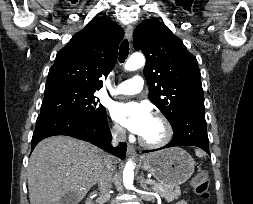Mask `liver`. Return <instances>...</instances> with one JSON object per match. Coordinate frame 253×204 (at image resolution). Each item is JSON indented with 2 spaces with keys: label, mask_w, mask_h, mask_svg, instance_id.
<instances>
[{
  "label": "liver",
  "mask_w": 253,
  "mask_h": 204,
  "mask_svg": "<svg viewBox=\"0 0 253 204\" xmlns=\"http://www.w3.org/2000/svg\"><path fill=\"white\" fill-rule=\"evenodd\" d=\"M114 157L98 147L69 136H52L41 141L28 166L30 204H59L67 193L80 202L98 182L105 160Z\"/></svg>",
  "instance_id": "6515ba94"
}]
</instances>
